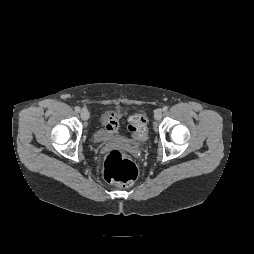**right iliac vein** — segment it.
Listing matches in <instances>:
<instances>
[{"mask_svg":"<svg viewBox=\"0 0 254 254\" xmlns=\"http://www.w3.org/2000/svg\"><path fill=\"white\" fill-rule=\"evenodd\" d=\"M81 118L86 121L89 119V112L86 108H83L80 112Z\"/></svg>","mask_w":254,"mask_h":254,"instance_id":"1","label":"right iliac vein"}]
</instances>
